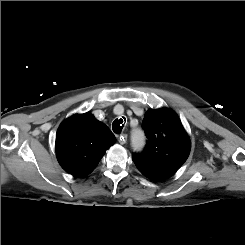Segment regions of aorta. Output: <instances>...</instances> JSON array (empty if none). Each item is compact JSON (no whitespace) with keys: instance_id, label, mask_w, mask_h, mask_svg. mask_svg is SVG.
I'll return each mask as SVG.
<instances>
[{"instance_id":"1","label":"aorta","mask_w":245,"mask_h":245,"mask_svg":"<svg viewBox=\"0 0 245 245\" xmlns=\"http://www.w3.org/2000/svg\"><path fill=\"white\" fill-rule=\"evenodd\" d=\"M145 143L144 132L137 128L132 131L131 134V145L134 150L141 149Z\"/></svg>"}]
</instances>
